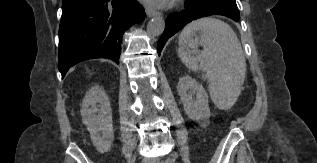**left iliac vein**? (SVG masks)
<instances>
[{
    "label": "left iliac vein",
    "mask_w": 317,
    "mask_h": 163,
    "mask_svg": "<svg viewBox=\"0 0 317 163\" xmlns=\"http://www.w3.org/2000/svg\"><path fill=\"white\" fill-rule=\"evenodd\" d=\"M156 163H160V162H156ZM167 163H172V161H167Z\"/></svg>",
    "instance_id": "left-iliac-vein-1"
}]
</instances>
